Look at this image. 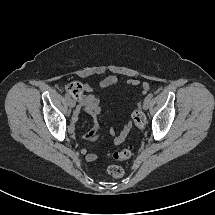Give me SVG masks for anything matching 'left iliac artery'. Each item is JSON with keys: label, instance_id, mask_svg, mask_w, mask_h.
Instances as JSON below:
<instances>
[{"label": "left iliac artery", "instance_id": "1", "mask_svg": "<svg viewBox=\"0 0 215 215\" xmlns=\"http://www.w3.org/2000/svg\"><path fill=\"white\" fill-rule=\"evenodd\" d=\"M152 98H153V94L150 93L140 103L143 105L147 100H151Z\"/></svg>", "mask_w": 215, "mask_h": 215}]
</instances>
